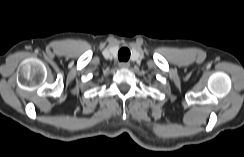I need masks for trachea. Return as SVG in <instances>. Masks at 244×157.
Masks as SVG:
<instances>
[{"mask_svg": "<svg viewBox=\"0 0 244 157\" xmlns=\"http://www.w3.org/2000/svg\"><path fill=\"white\" fill-rule=\"evenodd\" d=\"M118 58L120 61H128L130 58V50L128 48H121L118 52Z\"/></svg>", "mask_w": 244, "mask_h": 157, "instance_id": "3493384b", "label": "trachea"}]
</instances>
